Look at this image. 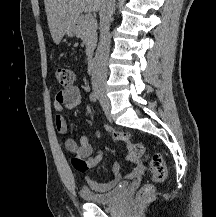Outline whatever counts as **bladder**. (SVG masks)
<instances>
[{"mask_svg":"<svg viewBox=\"0 0 216 217\" xmlns=\"http://www.w3.org/2000/svg\"><path fill=\"white\" fill-rule=\"evenodd\" d=\"M125 189L126 187L122 186L107 193H95L86 189H81L80 192L85 201L89 203L105 205L114 203L120 198Z\"/></svg>","mask_w":216,"mask_h":217,"instance_id":"bladder-1","label":"bladder"}]
</instances>
